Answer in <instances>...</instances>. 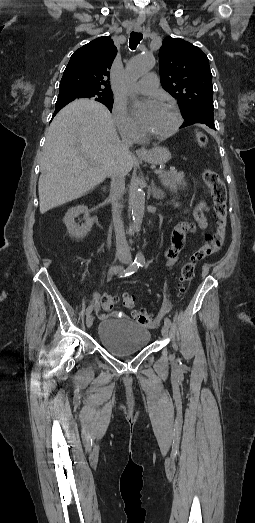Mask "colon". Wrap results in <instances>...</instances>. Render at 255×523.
<instances>
[{
  "label": "colon",
  "instance_id": "obj_1",
  "mask_svg": "<svg viewBox=\"0 0 255 523\" xmlns=\"http://www.w3.org/2000/svg\"><path fill=\"white\" fill-rule=\"evenodd\" d=\"M197 141L201 146H204L207 142L206 136L198 131ZM203 180L213 202L214 231L206 235L203 244L183 264L179 278L180 294L184 292L185 285L193 279L196 265L206 257L219 252L226 237L227 193L225 185L219 175L212 169H206L203 172ZM100 303L101 307L106 311L113 310L120 305L118 299L113 295L102 296ZM122 305L127 309H132L135 305L134 296L130 293H125ZM133 318L142 326H150L152 324L151 315L144 311H134Z\"/></svg>",
  "mask_w": 255,
  "mask_h": 523
}]
</instances>
